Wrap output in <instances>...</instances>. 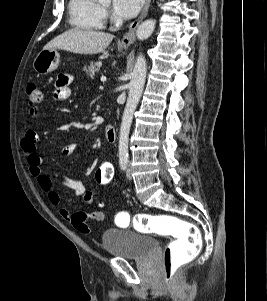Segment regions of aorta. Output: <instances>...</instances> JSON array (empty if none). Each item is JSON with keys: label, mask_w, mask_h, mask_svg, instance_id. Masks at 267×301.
I'll list each match as a JSON object with an SVG mask.
<instances>
[{"label": "aorta", "mask_w": 267, "mask_h": 301, "mask_svg": "<svg viewBox=\"0 0 267 301\" xmlns=\"http://www.w3.org/2000/svg\"><path fill=\"white\" fill-rule=\"evenodd\" d=\"M100 2H110V0H99ZM155 29V21L152 19L142 22L136 31L137 38L141 41L146 40L151 36ZM147 73V65L145 57L138 55L135 66L132 72V78L129 84V94L126 107L123 113L122 123L119 133V149L118 155L120 160H127L128 158V141L129 132L132 124L133 114L137 104L141 98L142 91L145 84Z\"/></svg>", "instance_id": "762f6f07"}]
</instances>
